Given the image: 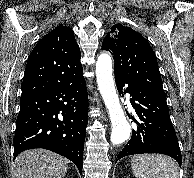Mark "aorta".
<instances>
[{
  "label": "aorta",
  "instance_id": "obj_1",
  "mask_svg": "<svg viewBox=\"0 0 194 178\" xmlns=\"http://www.w3.org/2000/svg\"><path fill=\"white\" fill-rule=\"evenodd\" d=\"M96 77L101 96L108 109L112 123L110 140L114 145H119L130 137L131 126L126 120L116 93L112 76V59L109 54L102 53L99 55L96 63Z\"/></svg>",
  "mask_w": 194,
  "mask_h": 178
}]
</instances>
